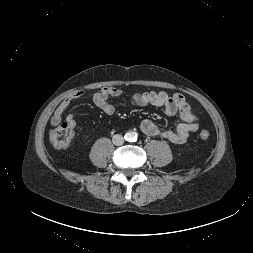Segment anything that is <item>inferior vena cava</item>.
<instances>
[{
	"label": "inferior vena cava",
	"instance_id": "1",
	"mask_svg": "<svg viewBox=\"0 0 253 253\" xmlns=\"http://www.w3.org/2000/svg\"><path fill=\"white\" fill-rule=\"evenodd\" d=\"M112 141L114 145L120 146L124 143V138L120 134H116L113 136Z\"/></svg>",
	"mask_w": 253,
	"mask_h": 253
}]
</instances>
